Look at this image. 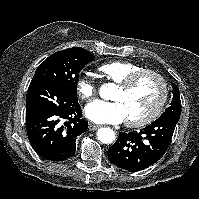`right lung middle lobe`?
I'll return each mask as SVG.
<instances>
[{"label": "right lung middle lobe", "instance_id": "1", "mask_svg": "<svg viewBox=\"0 0 199 199\" xmlns=\"http://www.w3.org/2000/svg\"><path fill=\"white\" fill-rule=\"evenodd\" d=\"M93 60L94 56L81 47L58 51L38 66L30 84L51 81L76 97L78 75Z\"/></svg>", "mask_w": 199, "mask_h": 199}]
</instances>
